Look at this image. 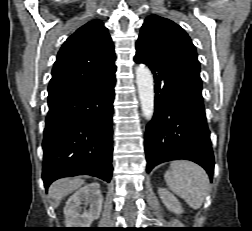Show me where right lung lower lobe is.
I'll return each instance as SVG.
<instances>
[{
  "mask_svg": "<svg viewBox=\"0 0 252 231\" xmlns=\"http://www.w3.org/2000/svg\"><path fill=\"white\" fill-rule=\"evenodd\" d=\"M115 76L91 83L49 104L43 138L45 188L56 179L112 177V114Z\"/></svg>",
  "mask_w": 252,
  "mask_h": 231,
  "instance_id": "98d812e1",
  "label": "right lung lower lobe"
}]
</instances>
